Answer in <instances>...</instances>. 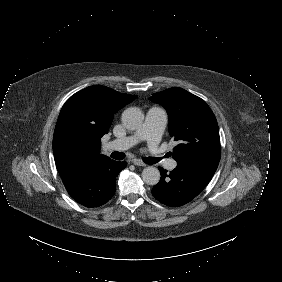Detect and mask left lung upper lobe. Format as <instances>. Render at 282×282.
<instances>
[{"label": "left lung upper lobe", "mask_w": 282, "mask_h": 282, "mask_svg": "<svg viewBox=\"0 0 282 282\" xmlns=\"http://www.w3.org/2000/svg\"><path fill=\"white\" fill-rule=\"evenodd\" d=\"M150 100L168 112L170 136L179 142L173 149L177 163L196 158L220 160L218 124L204 100L178 87L154 93Z\"/></svg>", "instance_id": "obj_1"}]
</instances>
